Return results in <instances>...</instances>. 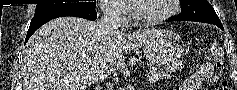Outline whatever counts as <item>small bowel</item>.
Returning a JSON list of instances; mask_svg holds the SVG:
<instances>
[{
    "mask_svg": "<svg viewBox=\"0 0 237 90\" xmlns=\"http://www.w3.org/2000/svg\"><path fill=\"white\" fill-rule=\"evenodd\" d=\"M213 68L210 64L202 65L183 84L181 90H200L203 81L212 76Z\"/></svg>",
    "mask_w": 237,
    "mask_h": 90,
    "instance_id": "c3829d8e",
    "label": "small bowel"
}]
</instances>
